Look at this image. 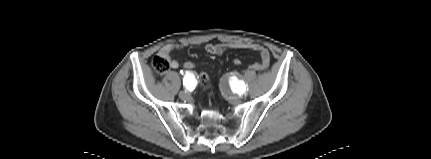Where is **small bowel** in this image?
Wrapping results in <instances>:
<instances>
[{"instance_id": "1", "label": "small bowel", "mask_w": 431, "mask_h": 159, "mask_svg": "<svg viewBox=\"0 0 431 159\" xmlns=\"http://www.w3.org/2000/svg\"><path fill=\"white\" fill-rule=\"evenodd\" d=\"M183 47L182 44H168L163 47L159 56L165 57L170 67L173 69H177L180 66V63L177 59H174L170 56V52L181 49ZM228 49H250L256 51L260 54V61L254 63L251 67L254 70L261 71L268 68L270 63V54L268 50L259 44L254 43H245V42H231V43H218V44H208L206 46V51L212 55H221L224 51ZM185 65V64H184Z\"/></svg>"}]
</instances>
